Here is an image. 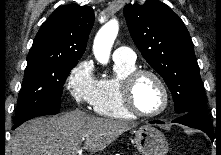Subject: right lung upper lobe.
Segmentation results:
<instances>
[{
  "instance_id": "1",
  "label": "right lung upper lobe",
  "mask_w": 221,
  "mask_h": 155,
  "mask_svg": "<svg viewBox=\"0 0 221 155\" xmlns=\"http://www.w3.org/2000/svg\"><path fill=\"white\" fill-rule=\"evenodd\" d=\"M94 23L89 6L64 5L41 25L27 56L77 62L82 57Z\"/></svg>"
}]
</instances>
